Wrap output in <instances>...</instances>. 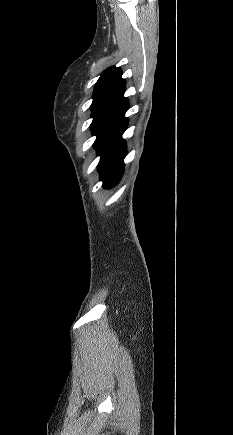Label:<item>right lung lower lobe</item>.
Returning a JSON list of instances; mask_svg holds the SVG:
<instances>
[{"mask_svg": "<svg viewBox=\"0 0 233 435\" xmlns=\"http://www.w3.org/2000/svg\"><path fill=\"white\" fill-rule=\"evenodd\" d=\"M128 125V119H124L97 147L101 160L98 165L100 180L105 187L115 185L122 176L126 156V144L121 135Z\"/></svg>", "mask_w": 233, "mask_h": 435, "instance_id": "98d812e1", "label": "right lung lower lobe"}]
</instances>
